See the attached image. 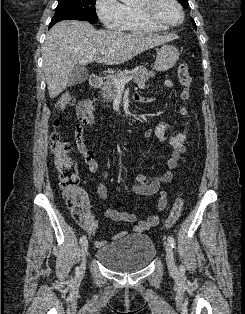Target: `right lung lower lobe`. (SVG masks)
Listing matches in <instances>:
<instances>
[{
  "label": "right lung lower lobe",
  "mask_w": 245,
  "mask_h": 314,
  "mask_svg": "<svg viewBox=\"0 0 245 314\" xmlns=\"http://www.w3.org/2000/svg\"><path fill=\"white\" fill-rule=\"evenodd\" d=\"M53 25H54V24H51V23H50L49 28H50L51 26H53Z\"/></svg>",
  "instance_id": "98d812e1"
}]
</instances>
